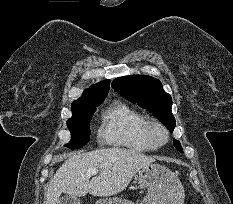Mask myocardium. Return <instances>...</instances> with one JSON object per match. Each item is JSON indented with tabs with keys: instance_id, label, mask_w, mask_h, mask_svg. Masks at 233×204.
Returning a JSON list of instances; mask_svg holds the SVG:
<instances>
[{
	"instance_id": "myocardium-1",
	"label": "myocardium",
	"mask_w": 233,
	"mask_h": 204,
	"mask_svg": "<svg viewBox=\"0 0 233 204\" xmlns=\"http://www.w3.org/2000/svg\"><path fill=\"white\" fill-rule=\"evenodd\" d=\"M155 130H158L161 134V139H158L155 135ZM142 133L144 138L155 148L161 147L168 142L169 133L167 128L159 121L155 119H147L142 126Z\"/></svg>"
}]
</instances>
